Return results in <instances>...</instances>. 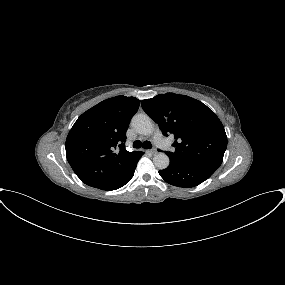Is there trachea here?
Listing matches in <instances>:
<instances>
[{"label":"trachea","mask_w":285,"mask_h":285,"mask_svg":"<svg viewBox=\"0 0 285 285\" xmlns=\"http://www.w3.org/2000/svg\"><path fill=\"white\" fill-rule=\"evenodd\" d=\"M133 147L134 148H141V147H143L144 149H151L152 148V144L149 141H144L143 143H141V141L136 140L133 143Z\"/></svg>","instance_id":"trachea-1"}]
</instances>
